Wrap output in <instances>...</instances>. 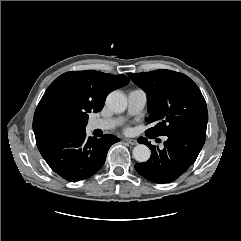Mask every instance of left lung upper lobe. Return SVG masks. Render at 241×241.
Returning a JSON list of instances; mask_svg holds the SVG:
<instances>
[{
  "instance_id": "5c2ea615",
  "label": "left lung upper lobe",
  "mask_w": 241,
  "mask_h": 241,
  "mask_svg": "<svg viewBox=\"0 0 241 241\" xmlns=\"http://www.w3.org/2000/svg\"><path fill=\"white\" fill-rule=\"evenodd\" d=\"M147 94V135L161 136L190 130H205L208 111L198 86L186 75L171 70L128 73Z\"/></svg>"
}]
</instances>
